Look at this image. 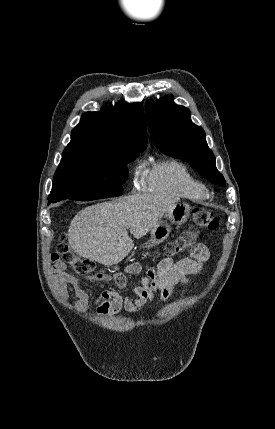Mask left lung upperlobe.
Here are the masks:
<instances>
[{
    "label": "left lung upper lobe",
    "mask_w": 275,
    "mask_h": 429,
    "mask_svg": "<svg viewBox=\"0 0 275 429\" xmlns=\"http://www.w3.org/2000/svg\"><path fill=\"white\" fill-rule=\"evenodd\" d=\"M146 117L154 145L163 153L180 158L210 182L224 186L215 156L206 142L202 127L191 121L190 110L176 105L172 95L146 102Z\"/></svg>",
    "instance_id": "5c2ea615"
}]
</instances>
